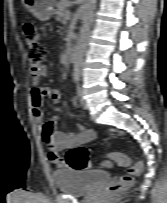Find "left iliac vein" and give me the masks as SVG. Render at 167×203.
Returning a JSON list of instances; mask_svg holds the SVG:
<instances>
[{
  "label": "left iliac vein",
  "mask_w": 167,
  "mask_h": 203,
  "mask_svg": "<svg viewBox=\"0 0 167 203\" xmlns=\"http://www.w3.org/2000/svg\"><path fill=\"white\" fill-rule=\"evenodd\" d=\"M78 96L80 98V105L84 108V109H87L88 106H87V102L86 100L83 98V90L82 88H78Z\"/></svg>",
  "instance_id": "left-iliac-vein-1"
}]
</instances>
